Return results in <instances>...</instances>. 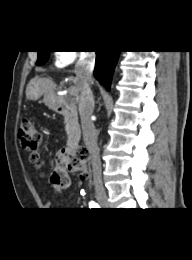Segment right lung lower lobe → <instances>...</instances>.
<instances>
[{"label":"right lung lower lobe","mask_w":192,"mask_h":260,"mask_svg":"<svg viewBox=\"0 0 192 260\" xmlns=\"http://www.w3.org/2000/svg\"><path fill=\"white\" fill-rule=\"evenodd\" d=\"M119 53L120 51H96L94 76L107 90L110 89Z\"/></svg>","instance_id":"obj_1"}]
</instances>
